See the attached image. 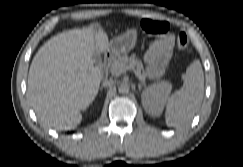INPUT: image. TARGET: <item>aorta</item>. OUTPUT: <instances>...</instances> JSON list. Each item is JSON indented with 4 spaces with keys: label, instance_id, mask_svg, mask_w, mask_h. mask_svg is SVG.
Wrapping results in <instances>:
<instances>
[{
    "label": "aorta",
    "instance_id": "762f6f07",
    "mask_svg": "<svg viewBox=\"0 0 243 167\" xmlns=\"http://www.w3.org/2000/svg\"><path fill=\"white\" fill-rule=\"evenodd\" d=\"M118 92L121 94H127L129 92V86L127 84H121L118 87Z\"/></svg>",
    "mask_w": 243,
    "mask_h": 167
}]
</instances>
